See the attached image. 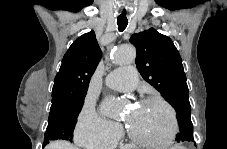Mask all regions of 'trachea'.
<instances>
[{"label": "trachea", "instance_id": "trachea-1", "mask_svg": "<svg viewBox=\"0 0 227 149\" xmlns=\"http://www.w3.org/2000/svg\"><path fill=\"white\" fill-rule=\"evenodd\" d=\"M117 25H118V30L120 32H123L128 25V21L117 19Z\"/></svg>", "mask_w": 227, "mask_h": 149}]
</instances>
